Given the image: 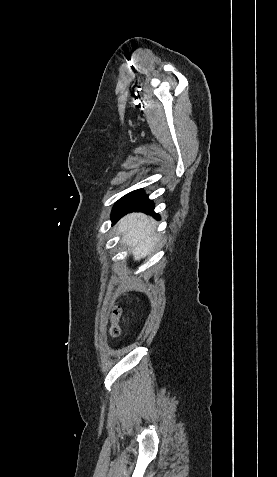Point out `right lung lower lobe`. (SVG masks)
Returning <instances> with one entry per match:
<instances>
[{
  "mask_svg": "<svg viewBox=\"0 0 277 477\" xmlns=\"http://www.w3.org/2000/svg\"><path fill=\"white\" fill-rule=\"evenodd\" d=\"M144 212L147 214L153 215L155 218L159 219V216L154 213V204L152 200L148 199V196L146 194H143L131 207L123 211L120 215L122 217L123 215L130 213V212Z\"/></svg>",
  "mask_w": 277,
  "mask_h": 477,
  "instance_id": "obj_1",
  "label": "right lung lower lobe"
}]
</instances>
